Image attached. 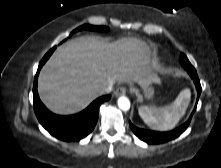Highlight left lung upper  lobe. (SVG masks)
Wrapping results in <instances>:
<instances>
[{"label": "left lung upper lobe", "instance_id": "1", "mask_svg": "<svg viewBox=\"0 0 221 168\" xmlns=\"http://www.w3.org/2000/svg\"><path fill=\"white\" fill-rule=\"evenodd\" d=\"M180 63L188 71V73L196 72V70L194 69V67L192 66V64L189 62L188 58L184 54L180 55Z\"/></svg>", "mask_w": 221, "mask_h": 168}]
</instances>
